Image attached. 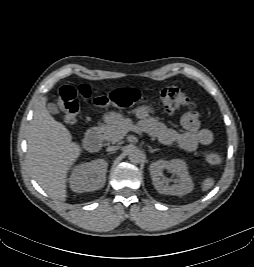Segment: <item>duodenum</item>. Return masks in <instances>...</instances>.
<instances>
[{
  "label": "duodenum",
  "mask_w": 254,
  "mask_h": 267,
  "mask_svg": "<svg viewBox=\"0 0 254 267\" xmlns=\"http://www.w3.org/2000/svg\"><path fill=\"white\" fill-rule=\"evenodd\" d=\"M84 146L91 152H97L102 145L101 128L99 126L91 127L83 139Z\"/></svg>",
  "instance_id": "1"
}]
</instances>
